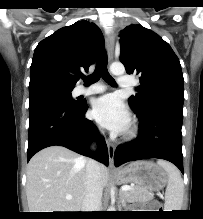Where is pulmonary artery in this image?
<instances>
[{
    "mask_svg": "<svg viewBox=\"0 0 203 219\" xmlns=\"http://www.w3.org/2000/svg\"><path fill=\"white\" fill-rule=\"evenodd\" d=\"M118 85L122 88L133 86V79L130 76L124 75L118 78ZM105 91V86L101 84H92L88 87H80L77 91L79 95H91Z\"/></svg>",
    "mask_w": 203,
    "mask_h": 219,
    "instance_id": "e3ab8cb5",
    "label": "pulmonary artery"
}]
</instances>
